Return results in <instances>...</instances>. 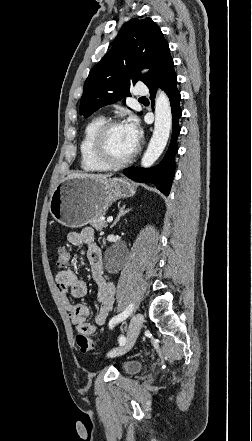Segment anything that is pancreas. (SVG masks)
Instances as JSON below:
<instances>
[{
  "instance_id": "pancreas-1",
  "label": "pancreas",
  "mask_w": 252,
  "mask_h": 441,
  "mask_svg": "<svg viewBox=\"0 0 252 441\" xmlns=\"http://www.w3.org/2000/svg\"><path fill=\"white\" fill-rule=\"evenodd\" d=\"M89 224L92 225L96 230H103L107 227L106 221L101 217H94L89 220Z\"/></svg>"
}]
</instances>
